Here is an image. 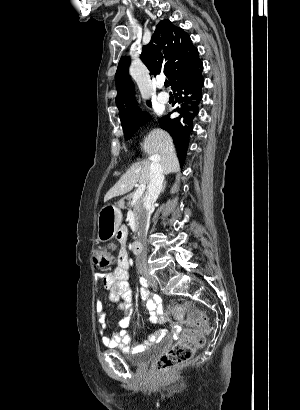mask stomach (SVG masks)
Segmentation results:
<instances>
[{
    "instance_id": "obj_1",
    "label": "stomach",
    "mask_w": 300,
    "mask_h": 410,
    "mask_svg": "<svg viewBox=\"0 0 300 410\" xmlns=\"http://www.w3.org/2000/svg\"><path fill=\"white\" fill-rule=\"evenodd\" d=\"M122 221V213L115 205H105L98 214V240L106 241L112 238Z\"/></svg>"
}]
</instances>
